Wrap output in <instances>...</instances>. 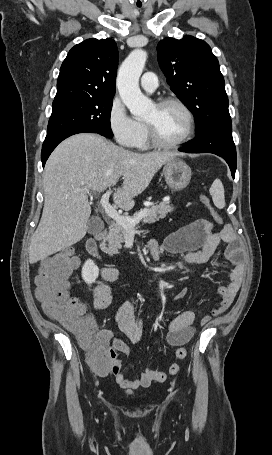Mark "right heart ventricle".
Instances as JSON below:
<instances>
[{
	"label": "right heart ventricle",
	"instance_id": "e07e8e85",
	"mask_svg": "<svg viewBox=\"0 0 272 455\" xmlns=\"http://www.w3.org/2000/svg\"><path fill=\"white\" fill-rule=\"evenodd\" d=\"M142 125V133L140 138L138 139L135 147L139 150H147L150 148V142L148 139L147 129L145 124L141 123Z\"/></svg>",
	"mask_w": 272,
	"mask_h": 455
}]
</instances>
